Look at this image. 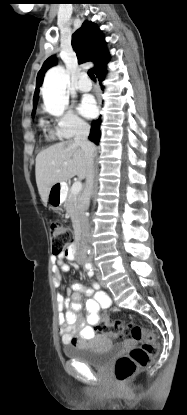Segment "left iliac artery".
I'll use <instances>...</instances> for the list:
<instances>
[{"label":"left iliac artery","mask_w":187,"mask_h":415,"mask_svg":"<svg viewBox=\"0 0 187 415\" xmlns=\"http://www.w3.org/2000/svg\"><path fill=\"white\" fill-rule=\"evenodd\" d=\"M94 275V272L92 271V269H90V271L88 272V276L92 277ZM94 288L98 289L99 288V284L94 282L93 283Z\"/></svg>","instance_id":"obj_1"}]
</instances>
